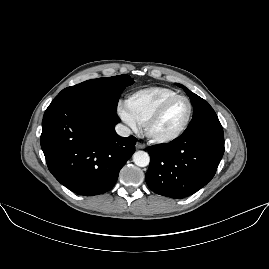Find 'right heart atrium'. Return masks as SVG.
Returning a JSON list of instances; mask_svg holds the SVG:
<instances>
[{
  "mask_svg": "<svg viewBox=\"0 0 269 269\" xmlns=\"http://www.w3.org/2000/svg\"><path fill=\"white\" fill-rule=\"evenodd\" d=\"M118 112L122 120L130 126L132 129L137 130L138 124L135 122V120L132 118V116L129 114L127 110H125L122 103H119L118 105Z\"/></svg>",
  "mask_w": 269,
  "mask_h": 269,
  "instance_id": "d8ad5b80",
  "label": "right heart atrium"
}]
</instances>
